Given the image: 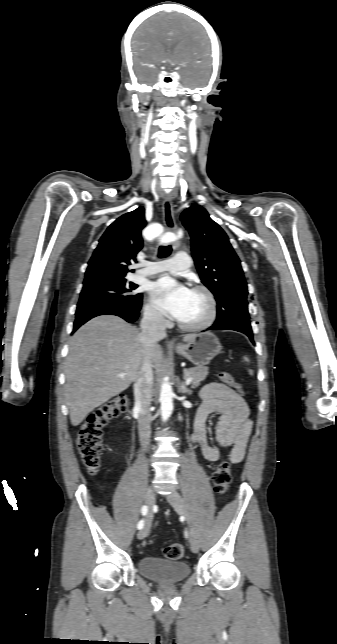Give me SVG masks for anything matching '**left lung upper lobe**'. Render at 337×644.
Wrapping results in <instances>:
<instances>
[{"label": "left lung upper lobe", "mask_w": 337, "mask_h": 644, "mask_svg": "<svg viewBox=\"0 0 337 644\" xmlns=\"http://www.w3.org/2000/svg\"><path fill=\"white\" fill-rule=\"evenodd\" d=\"M180 219L190 234L192 257L201 281L217 301L214 324L252 334L247 283L226 233L203 207L196 204L186 209Z\"/></svg>", "instance_id": "5c2ea615"}]
</instances>
